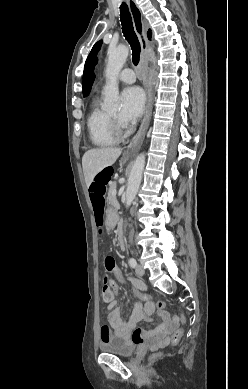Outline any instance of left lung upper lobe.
I'll use <instances>...</instances> for the list:
<instances>
[{
	"label": "left lung upper lobe",
	"instance_id": "obj_1",
	"mask_svg": "<svg viewBox=\"0 0 248 389\" xmlns=\"http://www.w3.org/2000/svg\"><path fill=\"white\" fill-rule=\"evenodd\" d=\"M101 45H102V40L98 41L93 46L85 62L84 73H83V96L84 97H86L90 93L93 81L95 79L94 68L98 62L97 53L100 50Z\"/></svg>",
	"mask_w": 248,
	"mask_h": 389
}]
</instances>
